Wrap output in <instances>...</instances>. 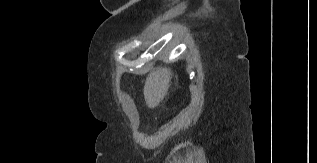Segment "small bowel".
I'll return each mask as SVG.
<instances>
[{
  "mask_svg": "<svg viewBox=\"0 0 317 163\" xmlns=\"http://www.w3.org/2000/svg\"><path fill=\"white\" fill-rule=\"evenodd\" d=\"M124 109H125L126 113H127L133 120L136 119V110H135L134 104H133V102H132L131 99H129V98H126V99H125Z\"/></svg>",
  "mask_w": 317,
  "mask_h": 163,
  "instance_id": "small-bowel-1",
  "label": "small bowel"
}]
</instances>
